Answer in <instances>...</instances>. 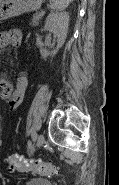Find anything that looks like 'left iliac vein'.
<instances>
[{"label": "left iliac vein", "instance_id": "1", "mask_svg": "<svg viewBox=\"0 0 119 185\" xmlns=\"http://www.w3.org/2000/svg\"><path fill=\"white\" fill-rule=\"evenodd\" d=\"M45 139H44V135L40 134L37 138V142H36V147L39 148L43 145Z\"/></svg>", "mask_w": 119, "mask_h": 185}]
</instances>
